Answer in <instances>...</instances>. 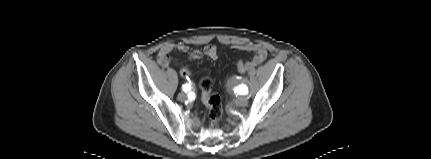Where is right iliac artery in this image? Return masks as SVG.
I'll return each instance as SVG.
<instances>
[{
    "mask_svg": "<svg viewBox=\"0 0 431 159\" xmlns=\"http://www.w3.org/2000/svg\"><path fill=\"white\" fill-rule=\"evenodd\" d=\"M182 89L184 92H188L191 90V86L189 84H185L182 86Z\"/></svg>",
    "mask_w": 431,
    "mask_h": 159,
    "instance_id": "82829eb1",
    "label": "right iliac artery"
}]
</instances>
